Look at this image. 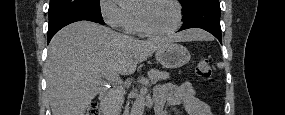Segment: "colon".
Segmentation results:
<instances>
[{
  "instance_id": "1",
  "label": "colon",
  "mask_w": 285,
  "mask_h": 115,
  "mask_svg": "<svg viewBox=\"0 0 285 115\" xmlns=\"http://www.w3.org/2000/svg\"><path fill=\"white\" fill-rule=\"evenodd\" d=\"M196 72L201 78L205 80H209L212 77V68H211L210 63L207 60H201L197 63ZM86 114L87 115H98L99 114L98 106L95 102L91 103Z\"/></svg>"
}]
</instances>
